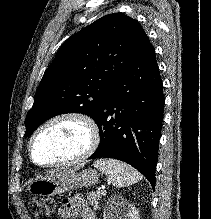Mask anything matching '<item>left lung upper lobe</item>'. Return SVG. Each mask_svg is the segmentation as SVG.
Wrapping results in <instances>:
<instances>
[{
  "label": "left lung upper lobe",
  "instance_id": "left-lung-upper-lobe-1",
  "mask_svg": "<svg viewBox=\"0 0 211 219\" xmlns=\"http://www.w3.org/2000/svg\"><path fill=\"white\" fill-rule=\"evenodd\" d=\"M148 41L123 13L96 20L68 38L46 69L25 120V137L51 117L83 113L95 120L103 99Z\"/></svg>",
  "mask_w": 211,
  "mask_h": 219
}]
</instances>
